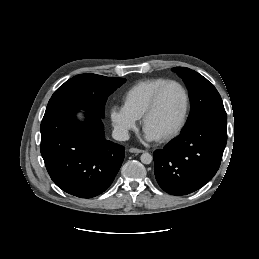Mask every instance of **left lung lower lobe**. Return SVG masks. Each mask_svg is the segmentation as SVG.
Returning <instances> with one entry per match:
<instances>
[{
    "label": "left lung lower lobe",
    "mask_w": 259,
    "mask_h": 259,
    "mask_svg": "<svg viewBox=\"0 0 259 259\" xmlns=\"http://www.w3.org/2000/svg\"><path fill=\"white\" fill-rule=\"evenodd\" d=\"M227 142V119L202 120L153 153L155 177L172 195L192 193L216 174Z\"/></svg>",
    "instance_id": "0a47b994"
}]
</instances>
